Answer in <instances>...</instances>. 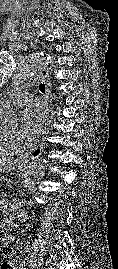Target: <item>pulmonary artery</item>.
I'll list each match as a JSON object with an SVG mask.
<instances>
[{
    "instance_id": "e3ab8cb5",
    "label": "pulmonary artery",
    "mask_w": 118,
    "mask_h": 269,
    "mask_svg": "<svg viewBox=\"0 0 118 269\" xmlns=\"http://www.w3.org/2000/svg\"><path fill=\"white\" fill-rule=\"evenodd\" d=\"M32 99L30 92L26 90H18L13 94L12 101L15 105L27 103Z\"/></svg>"
}]
</instances>
